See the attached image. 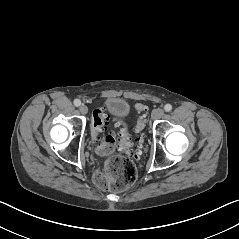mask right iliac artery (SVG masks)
<instances>
[{"label": "right iliac artery", "instance_id": "1", "mask_svg": "<svg viewBox=\"0 0 239 239\" xmlns=\"http://www.w3.org/2000/svg\"><path fill=\"white\" fill-rule=\"evenodd\" d=\"M74 105L77 106V107L80 106L81 105V101L79 99H75L74 100Z\"/></svg>", "mask_w": 239, "mask_h": 239}]
</instances>
